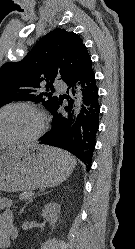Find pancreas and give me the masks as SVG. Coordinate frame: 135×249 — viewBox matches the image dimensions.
<instances>
[{
  "instance_id": "1",
  "label": "pancreas",
  "mask_w": 135,
  "mask_h": 249,
  "mask_svg": "<svg viewBox=\"0 0 135 249\" xmlns=\"http://www.w3.org/2000/svg\"><path fill=\"white\" fill-rule=\"evenodd\" d=\"M31 196H32V192L29 190H26L19 195V198L21 200H29V199H31Z\"/></svg>"
}]
</instances>
